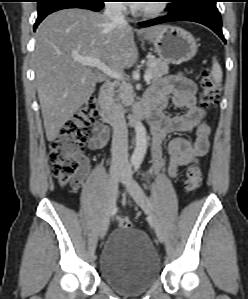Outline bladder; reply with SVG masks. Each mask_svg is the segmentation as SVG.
Wrapping results in <instances>:
<instances>
[{"mask_svg": "<svg viewBox=\"0 0 248 299\" xmlns=\"http://www.w3.org/2000/svg\"><path fill=\"white\" fill-rule=\"evenodd\" d=\"M160 272L159 256L145 232L131 227L110 234L99 258V273L107 284L124 294H140Z\"/></svg>", "mask_w": 248, "mask_h": 299, "instance_id": "31cf9c89", "label": "bladder"}]
</instances>
